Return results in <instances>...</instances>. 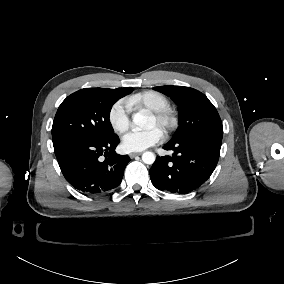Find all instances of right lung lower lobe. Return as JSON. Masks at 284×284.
<instances>
[{"label":"right lung lower lobe","mask_w":284,"mask_h":284,"mask_svg":"<svg viewBox=\"0 0 284 284\" xmlns=\"http://www.w3.org/2000/svg\"><path fill=\"white\" fill-rule=\"evenodd\" d=\"M119 142L116 134L106 139H76L54 151L65 179L80 192L97 195L110 192L122 181L130 158L116 154Z\"/></svg>","instance_id":"98d812e1"}]
</instances>
